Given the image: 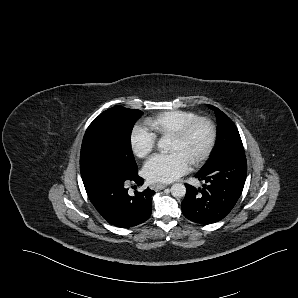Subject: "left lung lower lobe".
Returning <instances> with one entry per match:
<instances>
[{
    "mask_svg": "<svg viewBox=\"0 0 298 298\" xmlns=\"http://www.w3.org/2000/svg\"><path fill=\"white\" fill-rule=\"evenodd\" d=\"M245 153L230 156L204 167L195 176L205 180L203 188L185 184L186 195L181 203L183 215L199 224L220 221L238 201L246 180Z\"/></svg>",
    "mask_w": 298,
    "mask_h": 298,
    "instance_id": "1",
    "label": "left lung lower lobe"
}]
</instances>
